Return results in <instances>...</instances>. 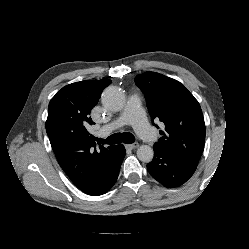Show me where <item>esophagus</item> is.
<instances>
[{
  "label": "esophagus",
  "mask_w": 249,
  "mask_h": 249,
  "mask_svg": "<svg viewBox=\"0 0 249 249\" xmlns=\"http://www.w3.org/2000/svg\"><path fill=\"white\" fill-rule=\"evenodd\" d=\"M139 147V144L137 142L132 143V144H125L126 149H136Z\"/></svg>",
  "instance_id": "esophagus-1"
}]
</instances>
